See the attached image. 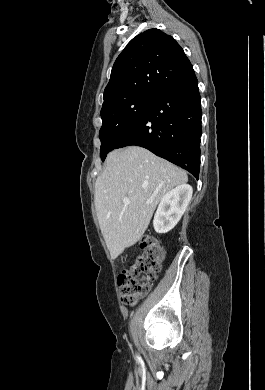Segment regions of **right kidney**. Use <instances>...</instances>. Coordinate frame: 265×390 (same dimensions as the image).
I'll use <instances>...</instances> for the list:
<instances>
[{
  "instance_id": "right-kidney-1",
  "label": "right kidney",
  "mask_w": 265,
  "mask_h": 390,
  "mask_svg": "<svg viewBox=\"0 0 265 390\" xmlns=\"http://www.w3.org/2000/svg\"><path fill=\"white\" fill-rule=\"evenodd\" d=\"M192 193L190 185L182 184L163 196L153 220L157 233H167L176 226L192 198Z\"/></svg>"
}]
</instances>
